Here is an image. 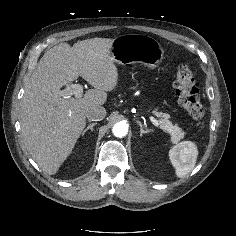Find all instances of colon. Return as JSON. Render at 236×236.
<instances>
[{
  "instance_id": "colon-1",
  "label": "colon",
  "mask_w": 236,
  "mask_h": 236,
  "mask_svg": "<svg viewBox=\"0 0 236 236\" xmlns=\"http://www.w3.org/2000/svg\"><path fill=\"white\" fill-rule=\"evenodd\" d=\"M174 90L179 104L191 118L198 120L203 117L204 109L199 90L195 85L194 74L185 64H181L177 68Z\"/></svg>"
}]
</instances>
